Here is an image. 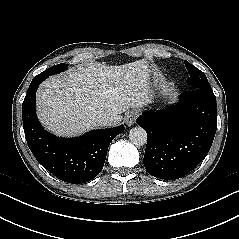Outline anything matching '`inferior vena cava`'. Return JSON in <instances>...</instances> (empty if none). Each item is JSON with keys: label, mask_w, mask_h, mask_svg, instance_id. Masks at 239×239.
I'll return each mask as SVG.
<instances>
[{"label": "inferior vena cava", "mask_w": 239, "mask_h": 239, "mask_svg": "<svg viewBox=\"0 0 239 239\" xmlns=\"http://www.w3.org/2000/svg\"><path fill=\"white\" fill-rule=\"evenodd\" d=\"M96 122L99 126H108L113 122V118L106 115H98L96 117Z\"/></svg>", "instance_id": "obj_1"}]
</instances>
